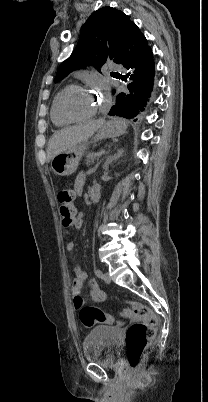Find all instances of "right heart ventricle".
I'll use <instances>...</instances> for the list:
<instances>
[{"label":"right heart ventricle","mask_w":208,"mask_h":402,"mask_svg":"<svg viewBox=\"0 0 208 402\" xmlns=\"http://www.w3.org/2000/svg\"><path fill=\"white\" fill-rule=\"evenodd\" d=\"M67 87H65L63 90H61L60 92H58L55 95V97L53 98L52 104H51V110H50L51 121L58 128L68 127V126H71V125H74V124L80 122L78 120H71V119L67 118L66 116L63 115V113L60 110L59 100H60L62 92Z\"/></svg>","instance_id":"obj_1"}]
</instances>
